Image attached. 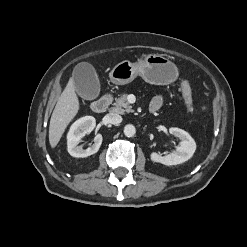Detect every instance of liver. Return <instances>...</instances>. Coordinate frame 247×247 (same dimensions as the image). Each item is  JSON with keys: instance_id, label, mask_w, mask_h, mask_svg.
Wrapping results in <instances>:
<instances>
[{"instance_id": "liver-1", "label": "liver", "mask_w": 247, "mask_h": 247, "mask_svg": "<svg viewBox=\"0 0 247 247\" xmlns=\"http://www.w3.org/2000/svg\"><path fill=\"white\" fill-rule=\"evenodd\" d=\"M79 111V100L73 78H70L53 110L49 125V143L55 148L66 127Z\"/></svg>"}]
</instances>
